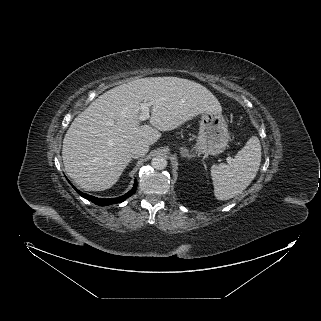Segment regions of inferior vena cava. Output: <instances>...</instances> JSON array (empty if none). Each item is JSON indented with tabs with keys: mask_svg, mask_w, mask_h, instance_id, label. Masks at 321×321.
<instances>
[{
	"mask_svg": "<svg viewBox=\"0 0 321 321\" xmlns=\"http://www.w3.org/2000/svg\"><path fill=\"white\" fill-rule=\"evenodd\" d=\"M149 150V145L146 143H136L130 148V152L133 158H139L144 156Z\"/></svg>",
	"mask_w": 321,
	"mask_h": 321,
	"instance_id": "inferior-vena-cava-1",
	"label": "inferior vena cava"
}]
</instances>
